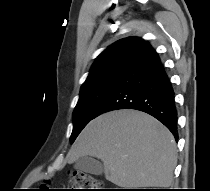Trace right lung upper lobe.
<instances>
[{
    "mask_svg": "<svg viewBox=\"0 0 210 191\" xmlns=\"http://www.w3.org/2000/svg\"><path fill=\"white\" fill-rule=\"evenodd\" d=\"M144 43L145 41L138 37H128L115 42L96 58L90 72L113 58L119 56L132 57Z\"/></svg>",
    "mask_w": 210,
    "mask_h": 191,
    "instance_id": "right-lung-upper-lobe-1",
    "label": "right lung upper lobe"
}]
</instances>
